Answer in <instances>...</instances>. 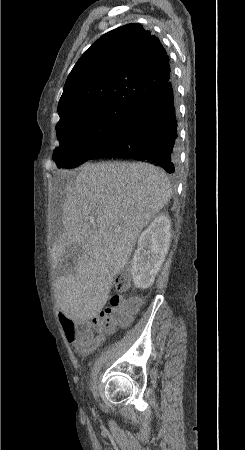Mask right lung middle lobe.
I'll return each instance as SVG.
<instances>
[{"label":"right lung middle lobe","mask_w":245,"mask_h":450,"mask_svg":"<svg viewBox=\"0 0 245 450\" xmlns=\"http://www.w3.org/2000/svg\"><path fill=\"white\" fill-rule=\"evenodd\" d=\"M134 108L102 104L60 117L56 133L60 147L53 153L58 168H75L119 139Z\"/></svg>","instance_id":"dd1d6c3e"}]
</instances>
